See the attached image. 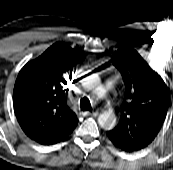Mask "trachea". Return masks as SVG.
Wrapping results in <instances>:
<instances>
[{
    "label": "trachea",
    "instance_id": "obj_1",
    "mask_svg": "<svg viewBox=\"0 0 173 170\" xmlns=\"http://www.w3.org/2000/svg\"><path fill=\"white\" fill-rule=\"evenodd\" d=\"M80 108L83 111H92L91 103L87 97H83L80 100Z\"/></svg>",
    "mask_w": 173,
    "mask_h": 170
}]
</instances>
